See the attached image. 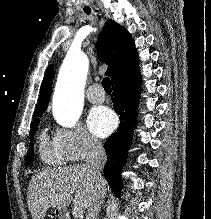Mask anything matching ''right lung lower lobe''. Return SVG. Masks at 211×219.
<instances>
[{
  "label": "right lung lower lobe",
  "mask_w": 211,
  "mask_h": 219,
  "mask_svg": "<svg viewBox=\"0 0 211 219\" xmlns=\"http://www.w3.org/2000/svg\"><path fill=\"white\" fill-rule=\"evenodd\" d=\"M111 82L113 86L111 99L115 111L120 115V125L104 145L108 157L104 174L112 191L119 197L122 189L121 171L126 162L137 118L136 109L141 84L138 64Z\"/></svg>",
  "instance_id": "1"
}]
</instances>
